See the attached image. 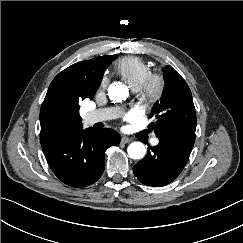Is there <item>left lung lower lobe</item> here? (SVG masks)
I'll return each instance as SVG.
<instances>
[{
  "label": "left lung lower lobe",
  "instance_id": "1",
  "mask_svg": "<svg viewBox=\"0 0 243 243\" xmlns=\"http://www.w3.org/2000/svg\"><path fill=\"white\" fill-rule=\"evenodd\" d=\"M191 151L170 141L160 140L149 147L147 155L133 167L140 182L153 187L171 183L185 167Z\"/></svg>",
  "mask_w": 243,
  "mask_h": 243
}]
</instances>
